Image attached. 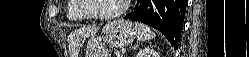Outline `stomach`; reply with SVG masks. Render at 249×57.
Segmentation results:
<instances>
[{"label": "stomach", "instance_id": "0dacf381", "mask_svg": "<svg viewBox=\"0 0 249 57\" xmlns=\"http://www.w3.org/2000/svg\"><path fill=\"white\" fill-rule=\"evenodd\" d=\"M137 37V28L131 21L119 19L106 24L100 35H93L88 40L85 57H109L106 45L124 47Z\"/></svg>", "mask_w": 249, "mask_h": 57}]
</instances>
